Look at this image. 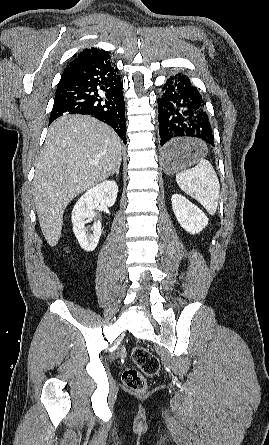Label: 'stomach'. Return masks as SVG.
Here are the masks:
<instances>
[{
    "label": "stomach",
    "mask_w": 269,
    "mask_h": 445,
    "mask_svg": "<svg viewBox=\"0 0 269 445\" xmlns=\"http://www.w3.org/2000/svg\"><path fill=\"white\" fill-rule=\"evenodd\" d=\"M180 149L173 154L162 153L161 164L167 174L185 169L195 164L202 155L203 144L196 139L181 140Z\"/></svg>",
    "instance_id": "1"
}]
</instances>
